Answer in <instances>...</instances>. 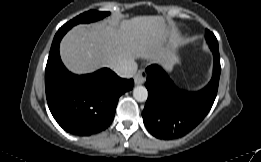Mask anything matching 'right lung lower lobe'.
<instances>
[{
    "label": "right lung lower lobe",
    "instance_id": "obj_1",
    "mask_svg": "<svg viewBox=\"0 0 261 162\" xmlns=\"http://www.w3.org/2000/svg\"><path fill=\"white\" fill-rule=\"evenodd\" d=\"M69 29L63 25L53 39L45 70L46 97L53 117L65 131L90 136L111 124L119 97L133 88L134 81L108 68L80 76L69 72L59 55L60 41Z\"/></svg>",
    "mask_w": 261,
    "mask_h": 162
}]
</instances>
